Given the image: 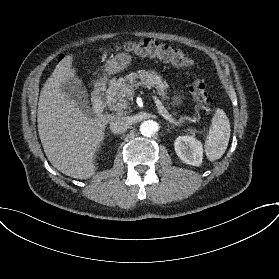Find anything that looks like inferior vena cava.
<instances>
[{"mask_svg":"<svg viewBox=\"0 0 279 279\" xmlns=\"http://www.w3.org/2000/svg\"><path fill=\"white\" fill-rule=\"evenodd\" d=\"M109 125L112 133L123 134L130 127V120L128 117L118 115L114 117V119L109 123Z\"/></svg>","mask_w":279,"mask_h":279,"instance_id":"inferior-vena-cava-1","label":"inferior vena cava"}]
</instances>
